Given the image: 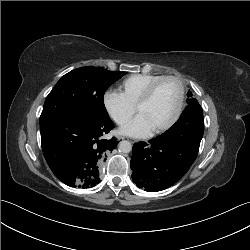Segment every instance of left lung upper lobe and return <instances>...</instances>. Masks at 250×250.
Segmentation results:
<instances>
[{
	"label": "left lung upper lobe",
	"instance_id": "left-lung-upper-lobe-1",
	"mask_svg": "<svg viewBox=\"0 0 250 250\" xmlns=\"http://www.w3.org/2000/svg\"><path fill=\"white\" fill-rule=\"evenodd\" d=\"M194 107L197 110H202L201 106L199 105L198 101L192 97V92H188V99H187V106L185 109Z\"/></svg>",
	"mask_w": 250,
	"mask_h": 250
}]
</instances>
